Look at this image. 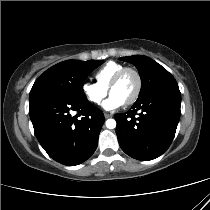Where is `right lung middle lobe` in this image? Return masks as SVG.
Segmentation results:
<instances>
[{
  "mask_svg": "<svg viewBox=\"0 0 210 210\" xmlns=\"http://www.w3.org/2000/svg\"><path fill=\"white\" fill-rule=\"evenodd\" d=\"M102 63V60H67L52 66L35 81L29 100L46 95L87 99L83 91L84 81Z\"/></svg>",
  "mask_w": 210,
  "mask_h": 210,
  "instance_id": "dd1d6c3e",
  "label": "right lung middle lobe"
}]
</instances>
